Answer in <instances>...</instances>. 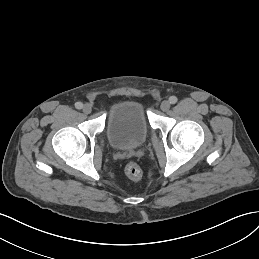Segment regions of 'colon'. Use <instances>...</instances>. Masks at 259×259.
<instances>
[{
	"label": "colon",
	"instance_id": "colon-1",
	"mask_svg": "<svg viewBox=\"0 0 259 259\" xmlns=\"http://www.w3.org/2000/svg\"><path fill=\"white\" fill-rule=\"evenodd\" d=\"M125 173L127 177L133 181H138L142 177V170L140 166L135 162H130L126 165Z\"/></svg>",
	"mask_w": 259,
	"mask_h": 259
}]
</instances>
